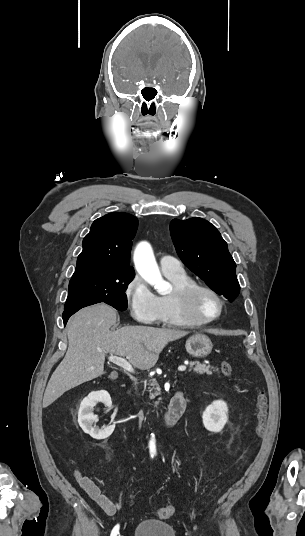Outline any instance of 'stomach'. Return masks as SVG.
I'll use <instances>...</instances> for the list:
<instances>
[{
  "label": "stomach",
  "mask_w": 305,
  "mask_h": 536,
  "mask_svg": "<svg viewBox=\"0 0 305 536\" xmlns=\"http://www.w3.org/2000/svg\"><path fill=\"white\" fill-rule=\"evenodd\" d=\"M185 348L193 358H205L212 350V342L205 334H195L187 340Z\"/></svg>",
  "instance_id": "1"
}]
</instances>
